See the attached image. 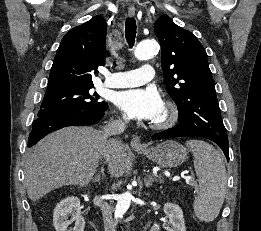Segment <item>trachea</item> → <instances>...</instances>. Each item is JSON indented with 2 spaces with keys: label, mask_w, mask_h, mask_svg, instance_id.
Listing matches in <instances>:
<instances>
[{
  "label": "trachea",
  "mask_w": 261,
  "mask_h": 231,
  "mask_svg": "<svg viewBox=\"0 0 261 231\" xmlns=\"http://www.w3.org/2000/svg\"><path fill=\"white\" fill-rule=\"evenodd\" d=\"M136 21L134 18H127L125 23V37L130 47L134 45L136 36Z\"/></svg>",
  "instance_id": "3493384b"
}]
</instances>
